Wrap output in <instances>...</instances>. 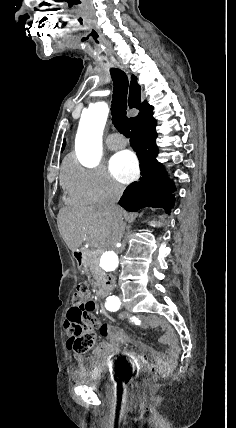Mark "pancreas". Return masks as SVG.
<instances>
[{"mask_svg":"<svg viewBox=\"0 0 236 428\" xmlns=\"http://www.w3.org/2000/svg\"><path fill=\"white\" fill-rule=\"evenodd\" d=\"M100 256L101 254H92V252H89L88 256H86L85 266H87L91 274H93L94 280H98L99 278L100 272H99L98 264H99ZM94 280H92V284L94 288H97L98 282H94Z\"/></svg>","mask_w":236,"mask_h":428,"instance_id":"obj_1","label":"pancreas"}]
</instances>
